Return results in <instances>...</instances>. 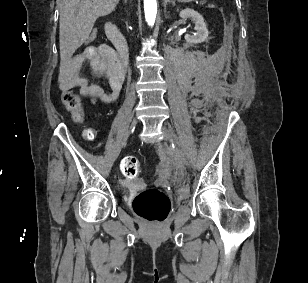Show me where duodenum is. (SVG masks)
<instances>
[{"mask_svg":"<svg viewBox=\"0 0 308 283\" xmlns=\"http://www.w3.org/2000/svg\"><path fill=\"white\" fill-rule=\"evenodd\" d=\"M105 32L118 53L120 66L124 71L128 66L129 60V49L127 42L118 26L113 21H108L105 24Z\"/></svg>","mask_w":308,"mask_h":283,"instance_id":"obj_1","label":"duodenum"}]
</instances>
